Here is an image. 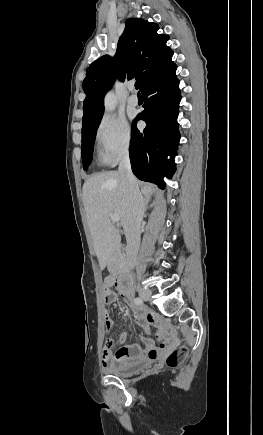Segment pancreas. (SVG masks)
I'll return each mask as SVG.
<instances>
[{
	"label": "pancreas",
	"mask_w": 263,
	"mask_h": 435,
	"mask_svg": "<svg viewBox=\"0 0 263 435\" xmlns=\"http://www.w3.org/2000/svg\"><path fill=\"white\" fill-rule=\"evenodd\" d=\"M109 266L112 270H122L124 266L123 254L121 251H116L110 258Z\"/></svg>",
	"instance_id": "obj_1"
}]
</instances>
